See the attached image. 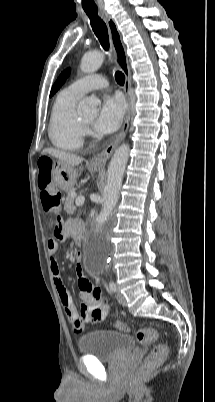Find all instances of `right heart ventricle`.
Here are the masks:
<instances>
[{"label":"right heart ventricle","mask_w":215,"mask_h":402,"mask_svg":"<svg viewBox=\"0 0 215 402\" xmlns=\"http://www.w3.org/2000/svg\"><path fill=\"white\" fill-rule=\"evenodd\" d=\"M80 95L70 89L58 93L52 106L48 134L52 144L63 150H78L85 135V128L77 115Z\"/></svg>","instance_id":"e07e8e85"}]
</instances>
